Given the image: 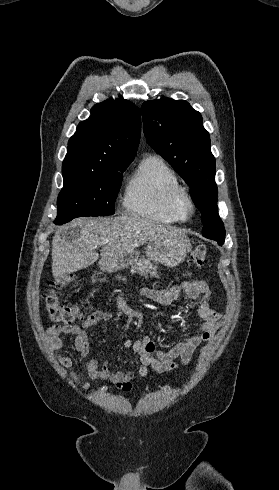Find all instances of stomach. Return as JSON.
Wrapping results in <instances>:
<instances>
[{
    "mask_svg": "<svg viewBox=\"0 0 279 490\" xmlns=\"http://www.w3.org/2000/svg\"><path fill=\"white\" fill-rule=\"evenodd\" d=\"M191 244L188 238H178V240H163V242H149L145 248L147 260H152L155 264H162L167 268H176L184 262ZM140 258V252L133 250L129 254H122L118 258H109V260H100L99 268L102 272H118L124 270L132 264H136Z\"/></svg>",
    "mask_w": 279,
    "mask_h": 490,
    "instance_id": "stomach-1",
    "label": "stomach"
}]
</instances>
